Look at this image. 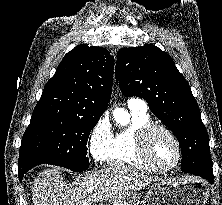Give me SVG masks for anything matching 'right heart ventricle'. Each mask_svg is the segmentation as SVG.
<instances>
[{
  "label": "right heart ventricle",
  "mask_w": 222,
  "mask_h": 205,
  "mask_svg": "<svg viewBox=\"0 0 222 205\" xmlns=\"http://www.w3.org/2000/svg\"><path fill=\"white\" fill-rule=\"evenodd\" d=\"M129 109L131 121L112 136L105 159L111 166L130 167L146 172H156L140 157L136 144L138 130L150 123V118L146 111Z\"/></svg>",
  "instance_id": "right-heart-ventricle-1"
}]
</instances>
